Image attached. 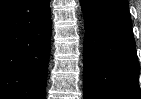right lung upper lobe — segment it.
<instances>
[{"label":"right lung upper lobe","mask_w":141,"mask_h":99,"mask_svg":"<svg viewBox=\"0 0 141 99\" xmlns=\"http://www.w3.org/2000/svg\"><path fill=\"white\" fill-rule=\"evenodd\" d=\"M11 0H0V6L10 2Z\"/></svg>","instance_id":"cb5924a9"}]
</instances>
